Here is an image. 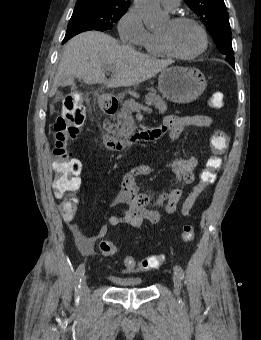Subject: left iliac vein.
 <instances>
[{
	"mask_svg": "<svg viewBox=\"0 0 261 340\" xmlns=\"http://www.w3.org/2000/svg\"><path fill=\"white\" fill-rule=\"evenodd\" d=\"M172 280L174 284V294L178 297L180 295L181 286H182L180 278L176 273H174L172 276Z\"/></svg>",
	"mask_w": 261,
	"mask_h": 340,
	"instance_id": "obj_1",
	"label": "left iliac vein"
}]
</instances>
